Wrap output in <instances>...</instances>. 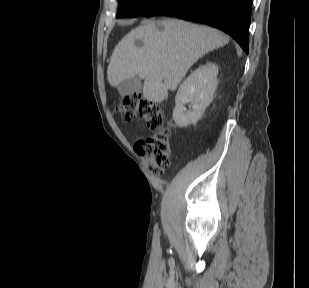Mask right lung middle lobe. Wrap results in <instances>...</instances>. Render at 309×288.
<instances>
[{"mask_svg": "<svg viewBox=\"0 0 309 288\" xmlns=\"http://www.w3.org/2000/svg\"><path fill=\"white\" fill-rule=\"evenodd\" d=\"M163 0H118L117 18L137 17L150 10Z\"/></svg>", "mask_w": 309, "mask_h": 288, "instance_id": "1", "label": "right lung middle lobe"}]
</instances>
